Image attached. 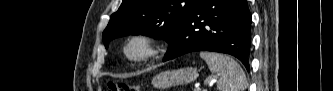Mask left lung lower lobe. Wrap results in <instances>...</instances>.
Masks as SVG:
<instances>
[{"instance_id": "0a47b994", "label": "left lung lower lobe", "mask_w": 333, "mask_h": 91, "mask_svg": "<svg viewBox=\"0 0 333 91\" xmlns=\"http://www.w3.org/2000/svg\"><path fill=\"white\" fill-rule=\"evenodd\" d=\"M251 14L246 0H199L169 42L163 61L195 51L238 58L249 71Z\"/></svg>"}]
</instances>
